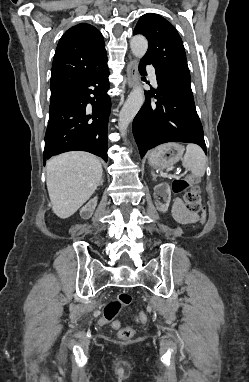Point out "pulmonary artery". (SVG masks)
Here are the masks:
<instances>
[{
    "label": "pulmonary artery",
    "instance_id": "1",
    "mask_svg": "<svg viewBox=\"0 0 249 382\" xmlns=\"http://www.w3.org/2000/svg\"><path fill=\"white\" fill-rule=\"evenodd\" d=\"M148 70H149V76H150V80L152 81V83H153V84H155V85H156V83H157V80H156V74H155V71H154V69H153V68H151V67H149V68H148Z\"/></svg>",
    "mask_w": 249,
    "mask_h": 382
}]
</instances>
